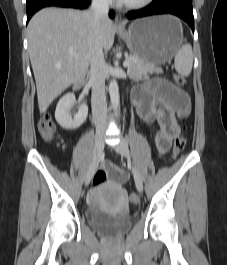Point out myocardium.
I'll list each match as a JSON object with an SVG mask.
<instances>
[{"label":"myocardium","mask_w":227,"mask_h":265,"mask_svg":"<svg viewBox=\"0 0 227 265\" xmlns=\"http://www.w3.org/2000/svg\"><path fill=\"white\" fill-rule=\"evenodd\" d=\"M153 0H141L139 2L136 3H126L123 1H120V6H122L123 8L129 9V10H138V9H142L146 6H148Z\"/></svg>","instance_id":"myocardium-1"}]
</instances>
